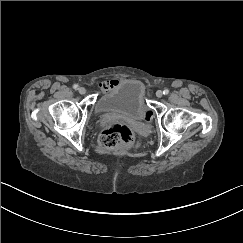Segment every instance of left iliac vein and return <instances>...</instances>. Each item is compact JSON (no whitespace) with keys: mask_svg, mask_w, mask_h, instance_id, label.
I'll return each instance as SVG.
<instances>
[{"mask_svg":"<svg viewBox=\"0 0 243 243\" xmlns=\"http://www.w3.org/2000/svg\"><path fill=\"white\" fill-rule=\"evenodd\" d=\"M156 96H157L158 98H161V97L163 96V92H162L161 90H158V91L156 92Z\"/></svg>","mask_w":243,"mask_h":243,"instance_id":"left-iliac-vein-1","label":"left iliac vein"}]
</instances>
